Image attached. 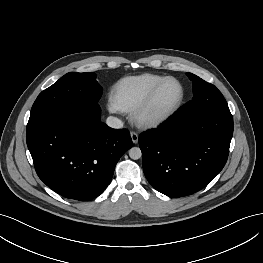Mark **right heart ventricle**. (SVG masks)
I'll return each mask as SVG.
<instances>
[{"instance_id": "obj_1", "label": "right heart ventricle", "mask_w": 263, "mask_h": 263, "mask_svg": "<svg viewBox=\"0 0 263 263\" xmlns=\"http://www.w3.org/2000/svg\"><path fill=\"white\" fill-rule=\"evenodd\" d=\"M163 78L164 76L148 73L122 78L112 87L111 101L119 111L132 112Z\"/></svg>"}]
</instances>
